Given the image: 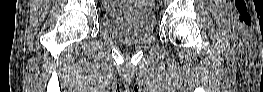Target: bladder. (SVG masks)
<instances>
[{
	"mask_svg": "<svg viewBox=\"0 0 263 92\" xmlns=\"http://www.w3.org/2000/svg\"><path fill=\"white\" fill-rule=\"evenodd\" d=\"M138 1H123L122 7L104 11L102 24L111 38L127 46L140 44L155 28V17L149 8L138 7Z\"/></svg>",
	"mask_w": 263,
	"mask_h": 92,
	"instance_id": "31cf9c89",
	"label": "bladder"
}]
</instances>
